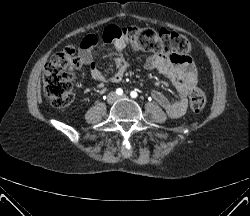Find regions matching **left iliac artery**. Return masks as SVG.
I'll return each instance as SVG.
<instances>
[{
	"mask_svg": "<svg viewBox=\"0 0 250 216\" xmlns=\"http://www.w3.org/2000/svg\"><path fill=\"white\" fill-rule=\"evenodd\" d=\"M137 92H135V91H132L131 93H130V96L132 97V98H136L137 97Z\"/></svg>",
	"mask_w": 250,
	"mask_h": 216,
	"instance_id": "obj_1",
	"label": "left iliac artery"
}]
</instances>
